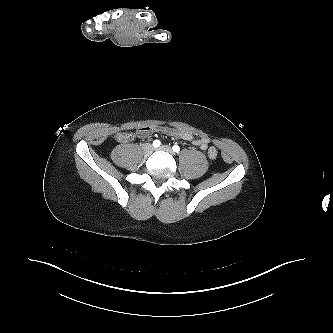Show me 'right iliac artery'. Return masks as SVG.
I'll list each match as a JSON object with an SVG mask.
<instances>
[{
    "label": "right iliac artery",
    "instance_id": "82829eb1",
    "mask_svg": "<svg viewBox=\"0 0 333 333\" xmlns=\"http://www.w3.org/2000/svg\"><path fill=\"white\" fill-rule=\"evenodd\" d=\"M160 144H161V142H160L159 140H154V141H153V146H154V147H159Z\"/></svg>",
    "mask_w": 333,
    "mask_h": 333
}]
</instances>
